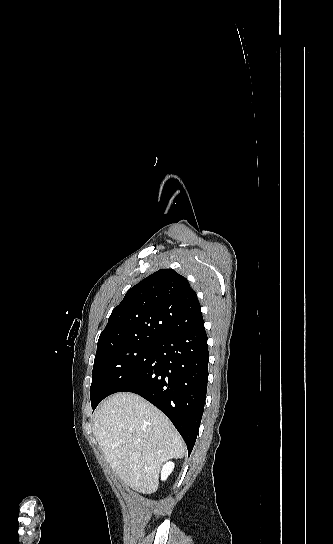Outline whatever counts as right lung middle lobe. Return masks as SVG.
<instances>
[{"label": "right lung middle lobe", "mask_w": 333, "mask_h": 544, "mask_svg": "<svg viewBox=\"0 0 333 544\" xmlns=\"http://www.w3.org/2000/svg\"><path fill=\"white\" fill-rule=\"evenodd\" d=\"M156 341L133 342L96 354L92 371V409L129 384L151 359Z\"/></svg>", "instance_id": "obj_1"}]
</instances>
